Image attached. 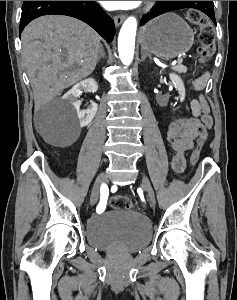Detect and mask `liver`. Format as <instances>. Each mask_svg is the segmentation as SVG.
<instances>
[{"label":"liver","instance_id":"obj_1","mask_svg":"<svg viewBox=\"0 0 237 300\" xmlns=\"http://www.w3.org/2000/svg\"><path fill=\"white\" fill-rule=\"evenodd\" d=\"M21 41L36 107L91 75L101 45L96 31L64 15H46L31 21Z\"/></svg>","mask_w":237,"mask_h":300}]
</instances>
